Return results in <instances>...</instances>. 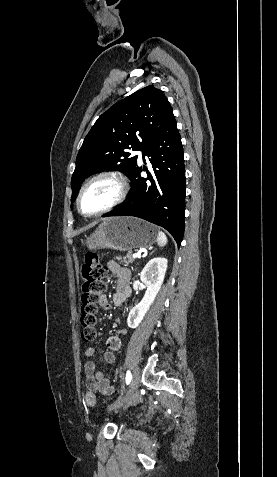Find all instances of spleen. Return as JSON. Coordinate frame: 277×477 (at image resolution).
<instances>
[{"label": "spleen", "instance_id": "1", "mask_svg": "<svg viewBox=\"0 0 277 477\" xmlns=\"http://www.w3.org/2000/svg\"><path fill=\"white\" fill-rule=\"evenodd\" d=\"M167 236L165 235L164 232L159 231L158 236H157V243L159 246H165L167 244Z\"/></svg>", "mask_w": 277, "mask_h": 477}]
</instances>
